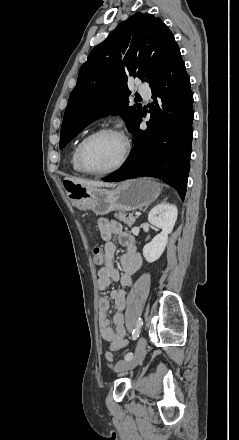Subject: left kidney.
I'll return each instance as SVG.
<instances>
[{
	"mask_svg": "<svg viewBox=\"0 0 239 440\" xmlns=\"http://www.w3.org/2000/svg\"><path fill=\"white\" fill-rule=\"evenodd\" d=\"M178 210L174 204H157L148 214V222L161 228L162 232L153 238L152 242L143 248V256L147 262H156L162 256L168 242V234H171L177 220Z\"/></svg>",
	"mask_w": 239,
	"mask_h": 440,
	"instance_id": "1",
	"label": "left kidney"
}]
</instances>
